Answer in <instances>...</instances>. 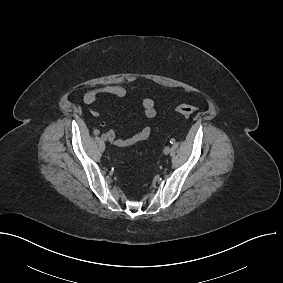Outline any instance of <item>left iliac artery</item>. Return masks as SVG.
I'll list each match as a JSON object with an SVG mask.
<instances>
[{
  "label": "left iliac artery",
  "mask_w": 283,
  "mask_h": 283,
  "mask_svg": "<svg viewBox=\"0 0 283 283\" xmlns=\"http://www.w3.org/2000/svg\"><path fill=\"white\" fill-rule=\"evenodd\" d=\"M170 143L171 144L175 143V139L174 138L170 139Z\"/></svg>",
  "instance_id": "left-iliac-artery-1"
}]
</instances>
